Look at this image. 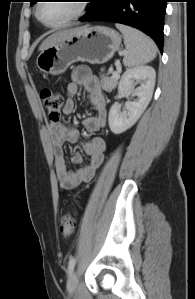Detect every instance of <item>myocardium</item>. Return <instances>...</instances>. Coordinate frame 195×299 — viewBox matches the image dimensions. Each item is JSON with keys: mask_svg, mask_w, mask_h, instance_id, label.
Segmentation results:
<instances>
[{"mask_svg": "<svg viewBox=\"0 0 195 299\" xmlns=\"http://www.w3.org/2000/svg\"><path fill=\"white\" fill-rule=\"evenodd\" d=\"M76 3H77L76 12L72 16H70V17L66 18L65 20H63L59 23H56V24H47L41 19L40 15H39V10H40L41 4H42L41 1L39 3H37V5L35 7V16L40 23H42L44 26H46L48 28L63 27L75 20H78L85 14L87 7H88L86 1L85 0H76Z\"/></svg>", "mask_w": 195, "mask_h": 299, "instance_id": "myocardium-1", "label": "myocardium"}]
</instances>
